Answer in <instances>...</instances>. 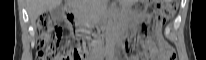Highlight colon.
Wrapping results in <instances>:
<instances>
[{
	"label": "colon",
	"mask_w": 206,
	"mask_h": 60,
	"mask_svg": "<svg viewBox=\"0 0 206 60\" xmlns=\"http://www.w3.org/2000/svg\"><path fill=\"white\" fill-rule=\"evenodd\" d=\"M176 1L165 0L154 4V9L169 16L175 8ZM61 28L46 14L37 21V60H82L90 46L91 38L85 33H77L67 41L66 47H61ZM159 53L166 60H174L173 50L165 43L161 44Z\"/></svg>",
	"instance_id": "obj_1"
}]
</instances>
